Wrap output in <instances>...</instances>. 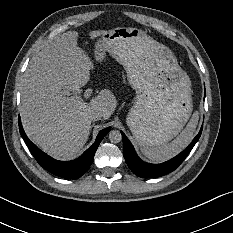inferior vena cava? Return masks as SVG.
Instances as JSON below:
<instances>
[{
    "label": "inferior vena cava",
    "instance_id": "inferior-vena-cava-1",
    "mask_svg": "<svg viewBox=\"0 0 233 233\" xmlns=\"http://www.w3.org/2000/svg\"><path fill=\"white\" fill-rule=\"evenodd\" d=\"M102 114L99 111H94L90 114V120L91 121H98L102 118Z\"/></svg>",
    "mask_w": 233,
    "mask_h": 233
}]
</instances>
